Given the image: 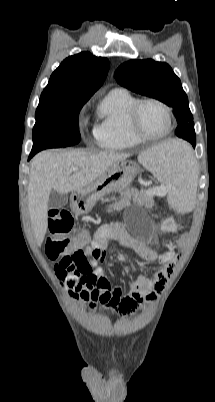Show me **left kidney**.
Wrapping results in <instances>:
<instances>
[{"instance_id":"obj_1","label":"left kidney","mask_w":215,"mask_h":402,"mask_svg":"<svg viewBox=\"0 0 215 402\" xmlns=\"http://www.w3.org/2000/svg\"><path fill=\"white\" fill-rule=\"evenodd\" d=\"M165 226L167 229H174L176 227V222L174 220H167ZM173 233H176V230H173Z\"/></svg>"}]
</instances>
